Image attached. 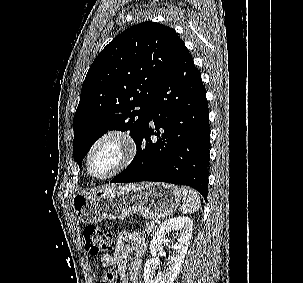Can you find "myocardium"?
<instances>
[{"label": "myocardium", "instance_id": "f54148a6", "mask_svg": "<svg viewBox=\"0 0 303 283\" xmlns=\"http://www.w3.org/2000/svg\"><path fill=\"white\" fill-rule=\"evenodd\" d=\"M106 141H114L120 146L121 155L117 164L107 174L102 176L94 175L90 170V161L95 150ZM137 152L136 142L133 136L126 130L111 128L99 136L89 146L85 156V169L87 175L97 181L110 179L125 170L133 162Z\"/></svg>", "mask_w": 303, "mask_h": 283}]
</instances>
